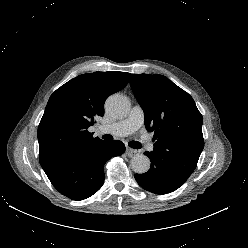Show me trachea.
I'll use <instances>...</instances> for the list:
<instances>
[{
    "mask_svg": "<svg viewBox=\"0 0 248 248\" xmlns=\"http://www.w3.org/2000/svg\"><path fill=\"white\" fill-rule=\"evenodd\" d=\"M102 138L105 139V140H112L113 139V137L111 135H109V134L103 135ZM129 146L131 148H134V149H140L142 147L141 143L138 142V141L129 142Z\"/></svg>",
    "mask_w": 248,
    "mask_h": 248,
    "instance_id": "obj_1",
    "label": "trachea"
}]
</instances>
